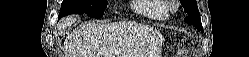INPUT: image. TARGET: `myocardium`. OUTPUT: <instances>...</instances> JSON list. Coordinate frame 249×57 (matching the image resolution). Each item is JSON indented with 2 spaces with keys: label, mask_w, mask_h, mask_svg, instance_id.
Listing matches in <instances>:
<instances>
[{
  "label": "myocardium",
  "mask_w": 249,
  "mask_h": 57,
  "mask_svg": "<svg viewBox=\"0 0 249 57\" xmlns=\"http://www.w3.org/2000/svg\"><path fill=\"white\" fill-rule=\"evenodd\" d=\"M177 8H178V5L175 3L174 6L171 8V10H172L173 12H175V11L177 10Z\"/></svg>",
  "instance_id": "myocardium-1"
}]
</instances>
